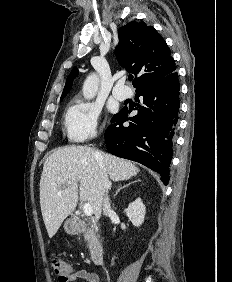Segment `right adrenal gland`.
Segmentation results:
<instances>
[{"instance_id":"2a0ac1e0","label":"right adrenal gland","mask_w":232,"mask_h":282,"mask_svg":"<svg viewBox=\"0 0 232 282\" xmlns=\"http://www.w3.org/2000/svg\"><path fill=\"white\" fill-rule=\"evenodd\" d=\"M132 183H134V182H129V183H127V184H124L123 186L120 185V186L117 188V190H116V192H115V194H114L113 197L115 198L116 195H117L122 189H124V188L130 186Z\"/></svg>"}]
</instances>
